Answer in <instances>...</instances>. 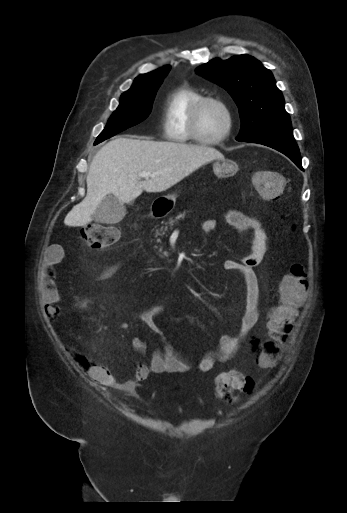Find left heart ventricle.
<instances>
[{
  "instance_id": "obj_1",
  "label": "left heart ventricle",
  "mask_w": 347,
  "mask_h": 513,
  "mask_svg": "<svg viewBox=\"0 0 347 513\" xmlns=\"http://www.w3.org/2000/svg\"><path fill=\"white\" fill-rule=\"evenodd\" d=\"M227 127V116L224 109L216 103L203 106L199 116V131L203 137L216 138Z\"/></svg>"
}]
</instances>
